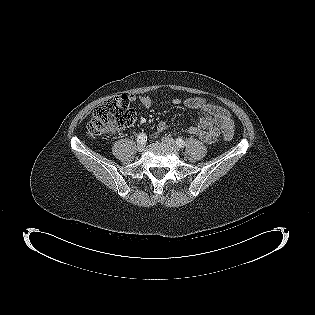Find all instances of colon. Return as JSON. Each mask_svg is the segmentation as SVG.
I'll return each instance as SVG.
<instances>
[{"label":"colon","instance_id":"1","mask_svg":"<svg viewBox=\"0 0 315 315\" xmlns=\"http://www.w3.org/2000/svg\"><path fill=\"white\" fill-rule=\"evenodd\" d=\"M136 118L134 110L130 107L129 97L115 95L101 103L93 112L87 126V134L97 137L109 131L123 129L130 126ZM224 138L230 140L232 134L224 132Z\"/></svg>","mask_w":315,"mask_h":315}]
</instances>
